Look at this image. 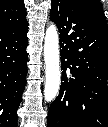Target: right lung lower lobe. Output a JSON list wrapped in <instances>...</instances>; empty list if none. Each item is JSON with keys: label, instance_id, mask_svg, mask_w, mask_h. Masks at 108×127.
<instances>
[{"label": "right lung lower lobe", "instance_id": "1", "mask_svg": "<svg viewBox=\"0 0 108 127\" xmlns=\"http://www.w3.org/2000/svg\"><path fill=\"white\" fill-rule=\"evenodd\" d=\"M28 22L0 30V127H17L27 75Z\"/></svg>", "mask_w": 108, "mask_h": 127}]
</instances>
